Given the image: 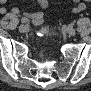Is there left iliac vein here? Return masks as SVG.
Wrapping results in <instances>:
<instances>
[{"mask_svg": "<svg viewBox=\"0 0 91 91\" xmlns=\"http://www.w3.org/2000/svg\"><path fill=\"white\" fill-rule=\"evenodd\" d=\"M63 29L70 35V36H75L76 31L75 29H70L69 26H63Z\"/></svg>", "mask_w": 91, "mask_h": 91, "instance_id": "4c4485c4", "label": "left iliac vein"}]
</instances>
